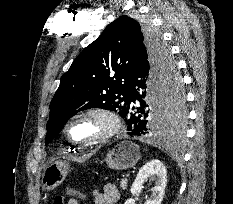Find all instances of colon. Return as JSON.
<instances>
[{"label": "colon", "mask_w": 233, "mask_h": 204, "mask_svg": "<svg viewBox=\"0 0 233 204\" xmlns=\"http://www.w3.org/2000/svg\"><path fill=\"white\" fill-rule=\"evenodd\" d=\"M77 194L75 190L67 188L65 194L55 196L53 204H79L76 199Z\"/></svg>", "instance_id": "colon-1"}]
</instances>
